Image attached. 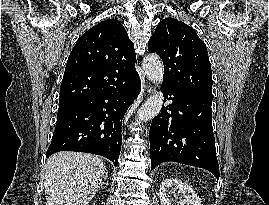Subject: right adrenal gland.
I'll use <instances>...</instances> for the list:
<instances>
[{"label":"right adrenal gland","mask_w":269,"mask_h":205,"mask_svg":"<svg viewBox=\"0 0 269 205\" xmlns=\"http://www.w3.org/2000/svg\"><path fill=\"white\" fill-rule=\"evenodd\" d=\"M107 177H108V173H106L105 177L103 180H107Z\"/></svg>","instance_id":"right-adrenal-gland-1"}]
</instances>
